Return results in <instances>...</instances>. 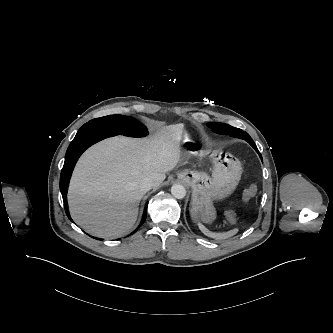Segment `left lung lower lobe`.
Returning a JSON list of instances; mask_svg holds the SVG:
<instances>
[{
    "instance_id": "0a47b994",
    "label": "left lung lower lobe",
    "mask_w": 333,
    "mask_h": 333,
    "mask_svg": "<svg viewBox=\"0 0 333 333\" xmlns=\"http://www.w3.org/2000/svg\"><path fill=\"white\" fill-rule=\"evenodd\" d=\"M247 142L257 151V153L259 154L258 148L255 145L254 141L252 139L247 138Z\"/></svg>"
}]
</instances>
